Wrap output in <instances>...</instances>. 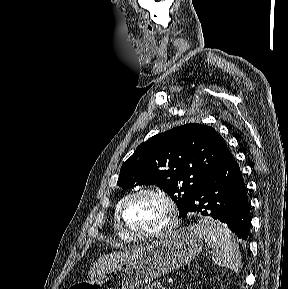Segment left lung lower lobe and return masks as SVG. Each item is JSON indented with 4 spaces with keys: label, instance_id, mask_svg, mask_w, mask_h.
<instances>
[{
    "label": "left lung lower lobe",
    "instance_id": "obj_1",
    "mask_svg": "<svg viewBox=\"0 0 288 289\" xmlns=\"http://www.w3.org/2000/svg\"><path fill=\"white\" fill-rule=\"evenodd\" d=\"M189 212L218 219L227 224L238 238H248L250 217L247 189L239 165L230 152L180 217Z\"/></svg>",
    "mask_w": 288,
    "mask_h": 289
}]
</instances>
